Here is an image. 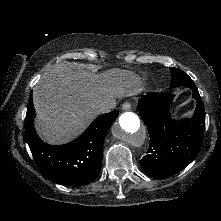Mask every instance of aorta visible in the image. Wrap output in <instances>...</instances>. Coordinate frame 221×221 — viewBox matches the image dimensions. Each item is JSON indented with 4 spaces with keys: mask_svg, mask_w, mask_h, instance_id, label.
Returning <instances> with one entry per match:
<instances>
[{
    "mask_svg": "<svg viewBox=\"0 0 221 221\" xmlns=\"http://www.w3.org/2000/svg\"><path fill=\"white\" fill-rule=\"evenodd\" d=\"M112 134L123 142L138 147L144 144L146 133L139 117L133 112L122 113L111 128Z\"/></svg>",
    "mask_w": 221,
    "mask_h": 221,
    "instance_id": "obj_1",
    "label": "aorta"
}]
</instances>
